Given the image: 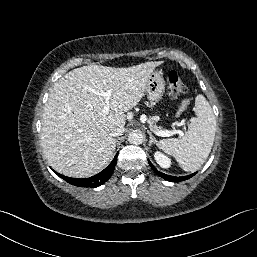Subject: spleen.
<instances>
[{
  "label": "spleen",
  "instance_id": "spleen-1",
  "mask_svg": "<svg viewBox=\"0 0 257 257\" xmlns=\"http://www.w3.org/2000/svg\"><path fill=\"white\" fill-rule=\"evenodd\" d=\"M196 117L192 118L188 131L179 139H164L157 143L165 153L175 157L184 171L194 172L205 162L212 149L216 118L203 95L195 99Z\"/></svg>",
  "mask_w": 257,
  "mask_h": 257
}]
</instances>
